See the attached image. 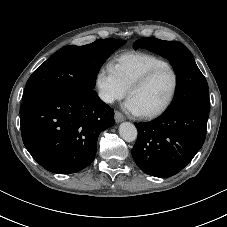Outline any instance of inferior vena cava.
Masks as SVG:
<instances>
[{
    "mask_svg": "<svg viewBox=\"0 0 227 227\" xmlns=\"http://www.w3.org/2000/svg\"><path fill=\"white\" fill-rule=\"evenodd\" d=\"M99 97L106 103H112L114 101L113 96L107 93H99Z\"/></svg>",
    "mask_w": 227,
    "mask_h": 227,
    "instance_id": "inferior-vena-cava-1",
    "label": "inferior vena cava"
}]
</instances>
